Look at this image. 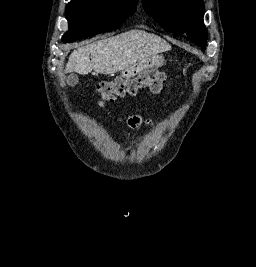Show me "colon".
Here are the masks:
<instances>
[{"label": "colon", "mask_w": 256, "mask_h": 267, "mask_svg": "<svg viewBox=\"0 0 256 267\" xmlns=\"http://www.w3.org/2000/svg\"><path fill=\"white\" fill-rule=\"evenodd\" d=\"M167 83L165 74L159 70L137 74L136 77H119L98 86L97 103L104 105L125 96H134L142 88H149L153 92L161 93Z\"/></svg>", "instance_id": "obj_1"}]
</instances>
